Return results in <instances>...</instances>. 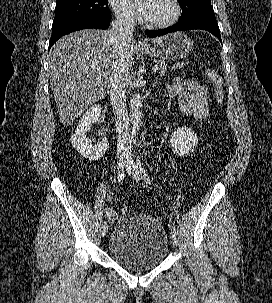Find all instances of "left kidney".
Listing matches in <instances>:
<instances>
[{"instance_id":"1","label":"left kidney","mask_w":272,"mask_h":303,"mask_svg":"<svg viewBox=\"0 0 272 303\" xmlns=\"http://www.w3.org/2000/svg\"><path fill=\"white\" fill-rule=\"evenodd\" d=\"M198 143L197 134L191 128H177L170 138L173 152L178 156H187L192 153Z\"/></svg>"}]
</instances>
